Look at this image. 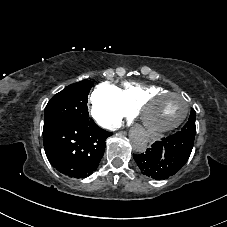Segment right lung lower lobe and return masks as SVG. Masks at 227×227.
<instances>
[{
	"label": "right lung lower lobe",
	"instance_id": "98d812e1",
	"mask_svg": "<svg viewBox=\"0 0 227 227\" xmlns=\"http://www.w3.org/2000/svg\"><path fill=\"white\" fill-rule=\"evenodd\" d=\"M111 135L93 120L79 119L43 133V144L54 168L69 177L84 178L98 167L104 154L105 141Z\"/></svg>",
	"mask_w": 227,
	"mask_h": 227
}]
</instances>
